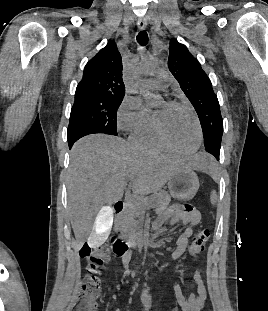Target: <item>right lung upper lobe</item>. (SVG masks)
Instances as JSON below:
<instances>
[{
	"label": "right lung upper lobe",
	"mask_w": 268,
	"mask_h": 311,
	"mask_svg": "<svg viewBox=\"0 0 268 311\" xmlns=\"http://www.w3.org/2000/svg\"><path fill=\"white\" fill-rule=\"evenodd\" d=\"M75 94H97L123 97L122 59L114 41L110 40L85 66L83 78Z\"/></svg>",
	"instance_id": "1"
}]
</instances>
